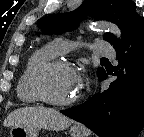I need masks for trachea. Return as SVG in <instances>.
I'll list each match as a JSON object with an SVG mask.
<instances>
[{
	"label": "trachea",
	"mask_w": 144,
	"mask_h": 137,
	"mask_svg": "<svg viewBox=\"0 0 144 137\" xmlns=\"http://www.w3.org/2000/svg\"><path fill=\"white\" fill-rule=\"evenodd\" d=\"M101 60L102 61H107L108 59L103 57V58H101Z\"/></svg>",
	"instance_id": "1"
}]
</instances>
